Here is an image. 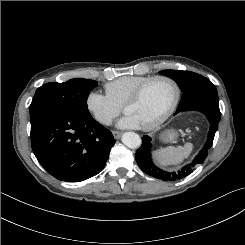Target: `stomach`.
Wrapping results in <instances>:
<instances>
[{
    "mask_svg": "<svg viewBox=\"0 0 245 245\" xmlns=\"http://www.w3.org/2000/svg\"><path fill=\"white\" fill-rule=\"evenodd\" d=\"M160 138L166 143H174L178 138V132L174 129H168L161 133Z\"/></svg>",
    "mask_w": 245,
    "mask_h": 245,
    "instance_id": "1",
    "label": "stomach"
}]
</instances>
